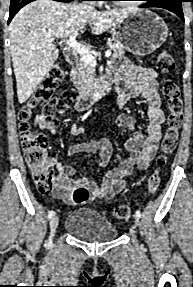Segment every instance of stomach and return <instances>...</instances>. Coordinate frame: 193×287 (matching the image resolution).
<instances>
[{"label": "stomach", "mask_w": 193, "mask_h": 287, "mask_svg": "<svg viewBox=\"0 0 193 287\" xmlns=\"http://www.w3.org/2000/svg\"><path fill=\"white\" fill-rule=\"evenodd\" d=\"M168 27L164 20L149 10H137L118 22L112 29L114 42L138 56L149 55L166 40Z\"/></svg>", "instance_id": "stomach-1"}]
</instances>
